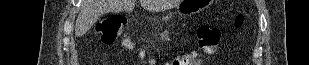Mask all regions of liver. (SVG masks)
<instances>
[{
    "instance_id": "obj_1",
    "label": "liver",
    "mask_w": 309,
    "mask_h": 65,
    "mask_svg": "<svg viewBox=\"0 0 309 65\" xmlns=\"http://www.w3.org/2000/svg\"><path fill=\"white\" fill-rule=\"evenodd\" d=\"M136 0H83L75 24V36L81 37L109 12L132 11ZM141 6L150 11H163L170 6L168 0H140Z\"/></svg>"
}]
</instances>
